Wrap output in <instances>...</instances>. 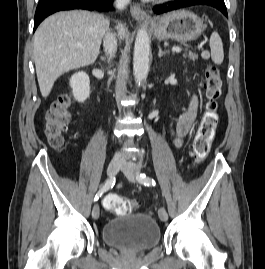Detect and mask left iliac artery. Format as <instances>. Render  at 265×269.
<instances>
[{"instance_id":"1","label":"left iliac artery","mask_w":265,"mask_h":269,"mask_svg":"<svg viewBox=\"0 0 265 269\" xmlns=\"http://www.w3.org/2000/svg\"><path fill=\"white\" fill-rule=\"evenodd\" d=\"M142 166V161L139 162V167ZM137 180L139 183L144 184L145 186H155V180L151 179L150 177L146 176L144 173L137 174Z\"/></svg>"}]
</instances>
